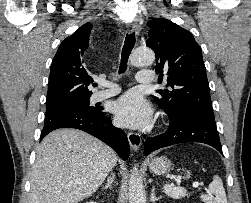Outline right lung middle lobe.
I'll return each instance as SVG.
<instances>
[{"label": "right lung middle lobe", "mask_w": 251, "mask_h": 203, "mask_svg": "<svg viewBox=\"0 0 251 203\" xmlns=\"http://www.w3.org/2000/svg\"><path fill=\"white\" fill-rule=\"evenodd\" d=\"M68 109H81V110H87L91 112H97L99 110L97 107L90 106L89 99H86V100L75 102L66 106L46 109L45 115H49L57 111L68 110Z\"/></svg>", "instance_id": "dd1d6c3e"}]
</instances>
